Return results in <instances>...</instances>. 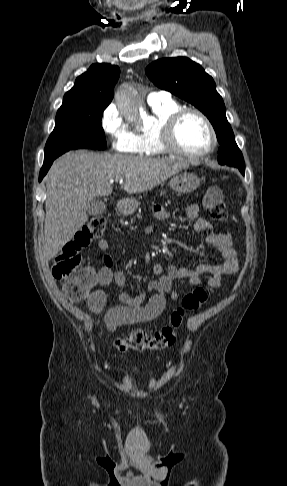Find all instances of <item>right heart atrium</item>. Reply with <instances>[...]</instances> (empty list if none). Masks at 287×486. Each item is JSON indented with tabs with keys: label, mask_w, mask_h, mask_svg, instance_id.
<instances>
[{
	"label": "right heart atrium",
	"mask_w": 287,
	"mask_h": 486,
	"mask_svg": "<svg viewBox=\"0 0 287 486\" xmlns=\"http://www.w3.org/2000/svg\"><path fill=\"white\" fill-rule=\"evenodd\" d=\"M100 124L104 133L109 137L114 151L128 153L136 151V135L123 119L116 105L110 104L104 109Z\"/></svg>",
	"instance_id": "right-heart-atrium-1"
}]
</instances>
